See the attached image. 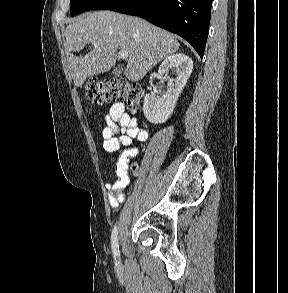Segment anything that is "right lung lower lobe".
Returning <instances> with one entry per match:
<instances>
[{
  "label": "right lung lower lobe",
  "mask_w": 288,
  "mask_h": 293,
  "mask_svg": "<svg viewBox=\"0 0 288 293\" xmlns=\"http://www.w3.org/2000/svg\"><path fill=\"white\" fill-rule=\"evenodd\" d=\"M212 0H122L109 10L146 19L178 34L203 56Z\"/></svg>",
  "instance_id": "98d812e1"
}]
</instances>
